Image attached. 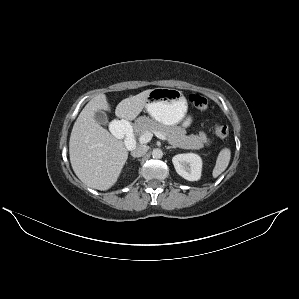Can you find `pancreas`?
Instances as JSON below:
<instances>
[{
  "instance_id": "1",
  "label": "pancreas",
  "mask_w": 299,
  "mask_h": 299,
  "mask_svg": "<svg viewBox=\"0 0 299 299\" xmlns=\"http://www.w3.org/2000/svg\"><path fill=\"white\" fill-rule=\"evenodd\" d=\"M135 132L137 135H142L146 132L153 133L155 131L162 133L167 141L175 148L182 149H201L204 144L209 143L205 133L199 135L186 136L185 132L178 126H166L148 118L142 117L137 120L135 126Z\"/></svg>"
}]
</instances>
